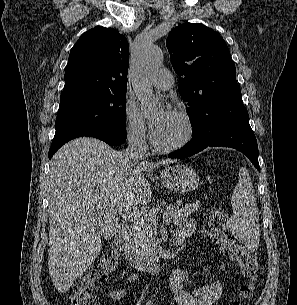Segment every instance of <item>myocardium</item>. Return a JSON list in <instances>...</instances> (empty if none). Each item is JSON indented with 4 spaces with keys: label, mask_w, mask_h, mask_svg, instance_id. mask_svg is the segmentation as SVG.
Instances as JSON below:
<instances>
[{
    "label": "myocardium",
    "mask_w": 297,
    "mask_h": 305,
    "mask_svg": "<svg viewBox=\"0 0 297 305\" xmlns=\"http://www.w3.org/2000/svg\"><path fill=\"white\" fill-rule=\"evenodd\" d=\"M172 113L176 114L185 125V133L184 135L177 141L169 145H163L157 142L152 133L151 135V143L152 146L159 152L170 153L176 150H179L186 146L193 138L195 127L191 116L184 110L175 109Z\"/></svg>",
    "instance_id": "1"
}]
</instances>
